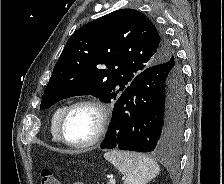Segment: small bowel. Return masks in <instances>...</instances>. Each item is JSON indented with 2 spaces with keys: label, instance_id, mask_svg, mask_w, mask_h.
<instances>
[{
  "label": "small bowel",
  "instance_id": "small-bowel-1",
  "mask_svg": "<svg viewBox=\"0 0 224 184\" xmlns=\"http://www.w3.org/2000/svg\"><path fill=\"white\" fill-rule=\"evenodd\" d=\"M73 184H83V183H80V182H75V183H73Z\"/></svg>",
  "mask_w": 224,
  "mask_h": 184
}]
</instances>
